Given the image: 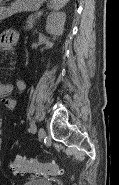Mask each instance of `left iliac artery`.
I'll use <instances>...</instances> for the list:
<instances>
[{
    "label": "left iliac artery",
    "instance_id": "44dca946",
    "mask_svg": "<svg viewBox=\"0 0 119 185\" xmlns=\"http://www.w3.org/2000/svg\"><path fill=\"white\" fill-rule=\"evenodd\" d=\"M37 130L35 122H32L30 125V132L35 133Z\"/></svg>",
    "mask_w": 119,
    "mask_h": 185
}]
</instances>
